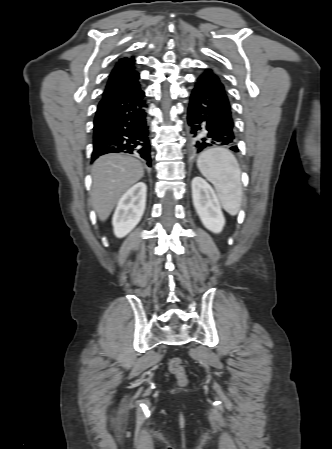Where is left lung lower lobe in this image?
I'll use <instances>...</instances> for the list:
<instances>
[{"label":"left lung lower lobe","instance_id":"0a47b994","mask_svg":"<svg viewBox=\"0 0 332 449\" xmlns=\"http://www.w3.org/2000/svg\"><path fill=\"white\" fill-rule=\"evenodd\" d=\"M191 153L211 146L238 152L232 109L219 76L206 69L195 81L187 113Z\"/></svg>","mask_w":332,"mask_h":449}]
</instances>
